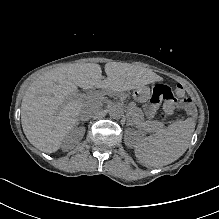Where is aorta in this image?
Masks as SVG:
<instances>
[{"mask_svg": "<svg viewBox=\"0 0 219 219\" xmlns=\"http://www.w3.org/2000/svg\"><path fill=\"white\" fill-rule=\"evenodd\" d=\"M107 111L113 119H120L123 115V109L116 103H110L107 107Z\"/></svg>", "mask_w": 219, "mask_h": 219, "instance_id": "762f6f07", "label": "aorta"}]
</instances>
